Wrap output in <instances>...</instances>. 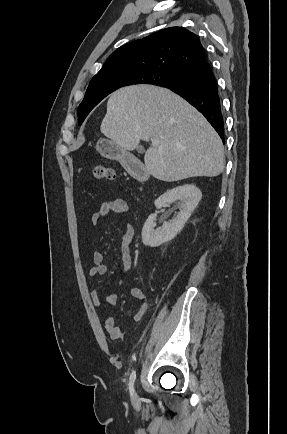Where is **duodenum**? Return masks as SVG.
<instances>
[{"label":"duodenum","mask_w":287,"mask_h":434,"mask_svg":"<svg viewBox=\"0 0 287 434\" xmlns=\"http://www.w3.org/2000/svg\"><path fill=\"white\" fill-rule=\"evenodd\" d=\"M125 163L130 168L131 173L136 179L142 180L146 177L147 172L145 169L137 164L132 158L126 157Z\"/></svg>","instance_id":"410a0bca"}]
</instances>
